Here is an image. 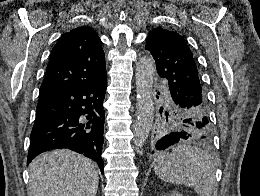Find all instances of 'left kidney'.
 <instances>
[{
  "label": "left kidney",
  "mask_w": 260,
  "mask_h": 196,
  "mask_svg": "<svg viewBox=\"0 0 260 196\" xmlns=\"http://www.w3.org/2000/svg\"><path fill=\"white\" fill-rule=\"evenodd\" d=\"M168 196H182L180 192H172V194H168Z\"/></svg>",
  "instance_id": "obj_1"
}]
</instances>
